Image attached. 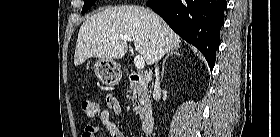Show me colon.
Wrapping results in <instances>:
<instances>
[{"label":"colon","mask_w":280,"mask_h":137,"mask_svg":"<svg viewBox=\"0 0 280 137\" xmlns=\"http://www.w3.org/2000/svg\"><path fill=\"white\" fill-rule=\"evenodd\" d=\"M81 108L83 112L88 116V117H94L97 115L99 111V106L95 101L92 100H82L81 102ZM85 132V131H84ZM83 132V136H84ZM88 137H91V135H88Z\"/></svg>","instance_id":"5ec220e1"}]
</instances>
